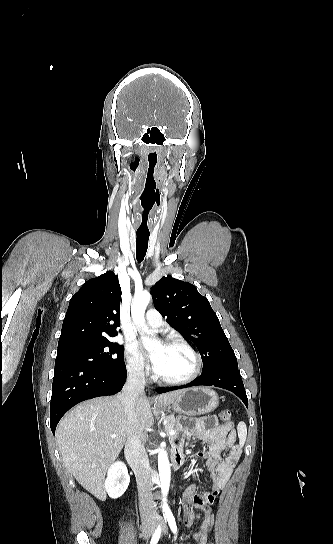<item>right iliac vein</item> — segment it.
Returning <instances> with one entry per match:
<instances>
[{"label": "right iliac vein", "mask_w": 333, "mask_h": 544, "mask_svg": "<svg viewBox=\"0 0 333 544\" xmlns=\"http://www.w3.org/2000/svg\"><path fill=\"white\" fill-rule=\"evenodd\" d=\"M154 530V525L151 523H145L143 525V536L148 539L151 537Z\"/></svg>", "instance_id": "1"}]
</instances>
